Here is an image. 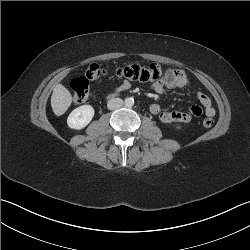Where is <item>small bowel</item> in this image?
Listing matches in <instances>:
<instances>
[{
    "mask_svg": "<svg viewBox=\"0 0 250 250\" xmlns=\"http://www.w3.org/2000/svg\"><path fill=\"white\" fill-rule=\"evenodd\" d=\"M129 86L128 81H123L119 89H127ZM166 89H187L191 91L203 109L198 105H192L188 112L161 111L158 104H152L150 106V112L157 116L161 123H189L193 117L200 116L203 113L207 117H213L215 115V109L211 99L203 91L192 86L187 74L183 70L169 68L166 70L164 78L153 84V90L157 94H164Z\"/></svg>",
    "mask_w": 250,
    "mask_h": 250,
    "instance_id": "small-bowel-1",
    "label": "small bowel"
}]
</instances>
